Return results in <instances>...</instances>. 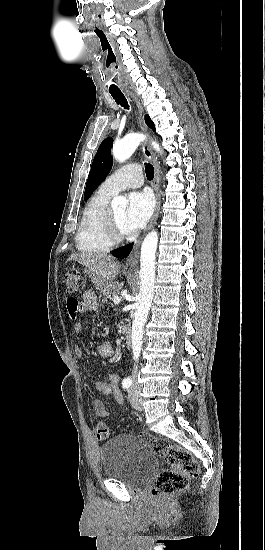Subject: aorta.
I'll return each mask as SVG.
<instances>
[{
    "label": "aorta",
    "mask_w": 265,
    "mask_h": 550,
    "mask_svg": "<svg viewBox=\"0 0 265 550\" xmlns=\"http://www.w3.org/2000/svg\"><path fill=\"white\" fill-rule=\"evenodd\" d=\"M145 139L142 134H129L119 142H116L112 148L113 157L124 162L137 149L139 144ZM154 149L161 152L159 144L152 142ZM111 205L113 207L126 205L124 197H115ZM158 244V233L156 230L149 232L141 246L140 256V290L138 302L132 323V352L134 360H137L143 343V329L152 304L155 283V254Z\"/></svg>",
    "instance_id": "aorta-1"
}]
</instances>
